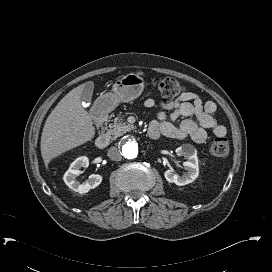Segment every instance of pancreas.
<instances>
[{"label": "pancreas", "mask_w": 272, "mask_h": 272, "mask_svg": "<svg viewBox=\"0 0 272 272\" xmlns=\"http://www.w3.org/2000/svg\"><path fill=\"white\" fill-rule=\"evenodd\" d=\"M134 129L132 124H128L127 122H123L120 116H117L113 124L110 125V129L108 130V134L112 137V139H116L117 137L125 134L128 131Z\"/></svg>", "instance_id": "pancreas-1"}]
</instances>
